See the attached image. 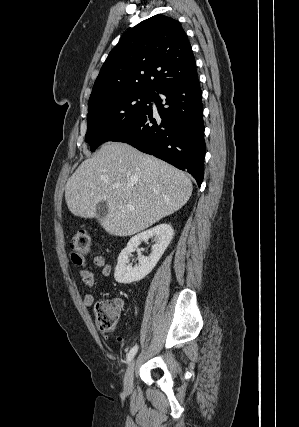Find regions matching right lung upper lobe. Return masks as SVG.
Here are the masks:
<instances>
[{
    "label": "right lung upper lobe",
    "instance_id": "obj_1",
    "mask_svg": "<svg viewBox=\"0 0 299 427\" xmlns=\"http://www.w3.org/2000/svg\"><path fill=\"white\" fill-rule=\"evenodd\" d=\"M196 74L192 48L180 23L158 14L124 34L112 49L94 83L89 105L124 92L154 93Z\"/></svg>",
    "mask_w": 299,
    "mask_h": 427
}]
</instances>
